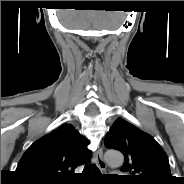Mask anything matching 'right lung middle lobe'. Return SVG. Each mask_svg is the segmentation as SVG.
<instances>
[{
    "mask_svg": "<svg viewBox=\"0 0 184 184\" xmlns=\"http://www.w3.org/2000/svg\"><path fill=\"white\" fill-rule=\"evenodd\" d=\"M32 183H34V184H45V183H36V182H32Z\"/></svg>",
    "mask_w": 184,
    "mask_h": 184,
    "instance_id": "dd1d6c3e",
    "label": "right lung middle lobe"
}]
</instances>
